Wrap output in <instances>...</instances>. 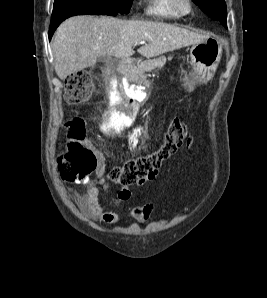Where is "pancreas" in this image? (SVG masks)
Instances as JSON below:
<instances>
[{
	"mask_svg": "<svg viewBox=\"0 0 267 298\" xmlns=\"http://www.w3.org/2000/svg\"><path fill=\"white\" fill-rule=\"evenodd\" d=\"M166 62L165 57H160L158 59L147 60L142 62L137 67H134L129 75L128 78L130 80L138 81L139 79H144L146 76L144 75L145 72H150L156 68H162Z\"/></svg>",
	"mask_w": 267,
	"mask_h": 298,
	"instance_id": "cf45deb5",
	"label": "pancreas"
}]
</instances>
